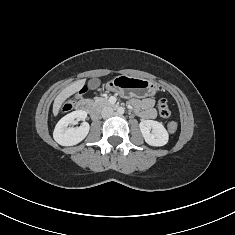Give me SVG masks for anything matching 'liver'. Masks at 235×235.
<instances>
[{
    "label": "liver",
    "instance_id": "obj_1",
    "mask_svg": "<svg viewBox=\"0 0 235 235\" xmlns=\"http://www.w3.org/2000/svg\"><path fill=\"white\" fill-rule=\"evenodd\" d=\"M85 84V79H81L71 83L69 86L64 88L55 98L53 103V115L57 116L62 104L68 99L70 96L78 92Z\"/></svg>",
    "mask_w": 235,
    "mask_h": 235
}]
</instances>
